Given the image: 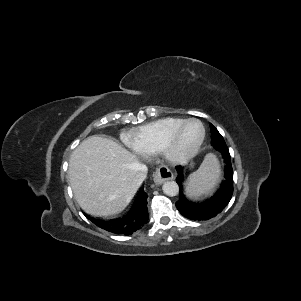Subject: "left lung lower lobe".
<instances>
[{
  "instance_id": "0a47b994",
  "label": "left lung lower lobe",
  "mask_w": 301,
  "mask_h": 301,
  "mask_svg": "<svg viewBox=\"0 0 301 301\" xmlns=\"http://www.w3.org/2000/svg\"><path fill=\"white\" fill-rule=\"evenodd\" d=\"M215 144L218 145L219 149L217 150L224 159V180L212 197L197 203L187 200L183 194V167H176L178 173L176 181L180 187V195L179 200L176 202V207L184 217L190 220L201 221L215 217L227 206L233 195V169L228 147L218 141Z\"/></svg>"
}]
</instances>
